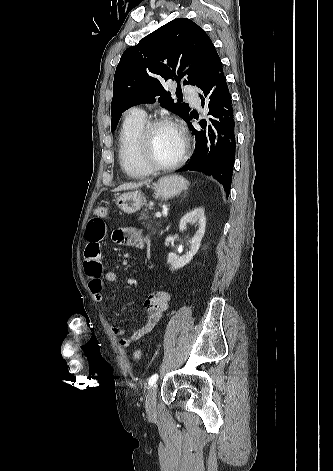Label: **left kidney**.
Returning a JSON list of instances; mask_svg holds the SVG:
<instances>
[{"mask_svg":"<svg viewBox=\"0 0 333 471\" xmlns=\"http://www.w3.org/2000/svg\"><path fill=\"white\" fill-rule=\"evenodd\" d=\"M188 224H195L198 226L197 231L190 240V250L183 256H178L171 252L168 254L167 262L170 264L172 270H178L187 265L198 252L201 240L205 233L206 217L203 208H195L192 211L185 214L179 224V230L183 231L186 229Z\"/></svg>","mask_w":333,"mask_h":471,"instance_id":"left-kidney-1","label":"left kidney"}]
</instances>
